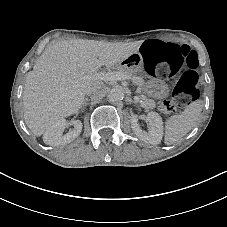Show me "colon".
Listing matches in <instances>:
<instances>
[{
    "label": "colon",
    "instance_id": "5ec220e1",
    "mask_svg": "<svg viewBox=\"0 0 227 227\" xmlns=\"http://www.w3.org/2000/svg\"><path fill=\"white\" fill-rule=\"evenodd\" d=\"M140 56L147 73L176 82L172 99L162 104L165 113H173L178 107L199 98L197 54L188 46L149 40L143 44Z\"/></svg>",
    "mask_w": 227,
    "mask_h": 227
}]
</instances>
